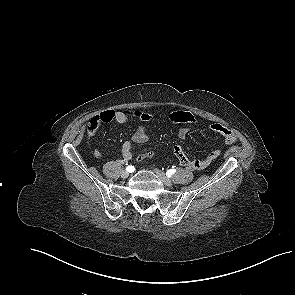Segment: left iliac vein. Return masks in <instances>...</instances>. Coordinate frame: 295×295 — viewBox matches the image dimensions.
Returning a JSON list of instances; mask_svg holds the SVG:
<instances>
[{"instance_id":"obj_1","label":"left iliac vein","mask_w":295,"mask_h":295,"mask_svg":"<svg viewBox=\"0 0 295 295\" xmlns=\"http://www.w3.org/2000/svg\"><path fill=\"white\" fill-rule=\"evenodd\" d=\"M154 171L163 184H165L166 186L172 185V181L162 171L158 169H155Z\"/></svg>"}]
</instances>
